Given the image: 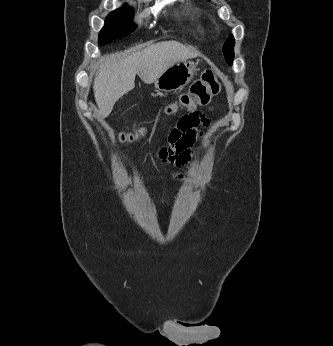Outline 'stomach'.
Returning a JSON list of instances; mask_svg holds the SVG:
<instances>
[{
	"instance_id": "obj_1",
	"label": "stomach",
	"mask_w": 333,
	"mask_h": 346,
	"mask_svg": "<svg viewBox=\"0 0 333 346\" xmlns=\"http://www.w3.org/2000/svg\"><path fill=\"white\" fill-rule=\"evenodd\" d=\"M196 65L187 60L174 63L155 80V88L166 93L183 89L193 79Z\"/></svg>"
}]
</instances>
